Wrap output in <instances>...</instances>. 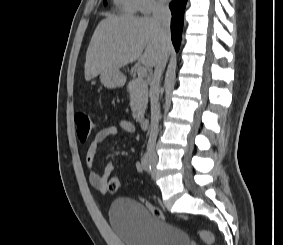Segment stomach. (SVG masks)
<instances>
[{
  "instance_id": "0dacf381",
  "label": "stomach",
  "mask_w": 283,
  "mask_h": 245,
  "mask_svg": "<svg viewBox=\"0 0 283 245\" xmlns=\"http://www.w3.org/2000/svg\"><path fill=\"white\" fill-rule=\"evenodd\" d=\"M100 79L103 85L107 88L113 89L124 84L125 78L119 69H109L100 73Z\"/></svg>"
}]
</instances>
